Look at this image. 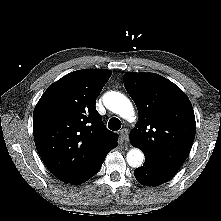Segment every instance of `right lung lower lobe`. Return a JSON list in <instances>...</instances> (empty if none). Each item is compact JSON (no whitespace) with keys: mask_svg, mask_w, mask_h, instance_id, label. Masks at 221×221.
Here are the masks:
<instances>
[{"mask_svg":"<svg viewBox=\"0 0 221 221\" xmlns=\"http://www.w3.org/2000/svg\"><path fill=\"white\" fill-rule=\"evenodd\" d=\"M106 155L103 156L102 158H100L98 160V162H96L88 171H86L83 175H81L79 178H77L74 182H72L71 184H81L85 181H87L88 179H90L92 176H94L96 173H98V171L100 170L104 159H105Z\"/></svg>","mask_w":221,"mask_h":221,"instance_id":"right-lung-lower-lobe-1","label":"right lung lower lobe"}]
</instances>
